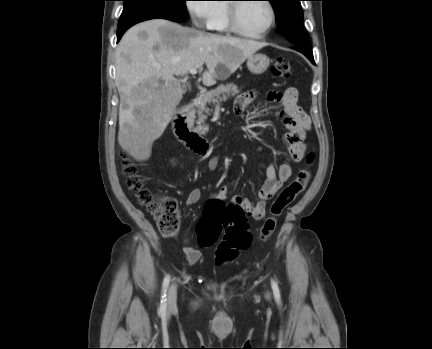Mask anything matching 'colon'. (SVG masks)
<instances>
[{
    "label": "colon",
    "mask_w": 432,
    "mask_h": 349,
    "mask_svg": "<svg viewBox=\"0 0 432 349\" xmlns=\"http://www.w3.org/2000/svg\"><path fill=\"white\" fill-rule=\"evenodd\" d=\"M271 72L277 78L287 79L292 74V68L286 59L279 58L272 65ZM121 159L123 174L127 178L129 188L137 193L139 202L152 212L159 231L165 236L174 235L180 225L177 200L173 197H160L144 187L137 168L129 156L122 153ZM313 161L314 154L309 153L306 162L311 165ZM310 177L309 169L300 170L295 179L279 193L271 206L269 217L261 228L262 241H267L271 237L278 217L305 190ZM221 233L223 237L215 252L216 263L219 265L236 259L240 251L250 246L252 238L246 213L239 204L212 199L205 205L203 217L197 225L198 243L201 247H209L218 240Z\"/></svg>",
    "instance_id": "colon-1"
}]
</instances>
